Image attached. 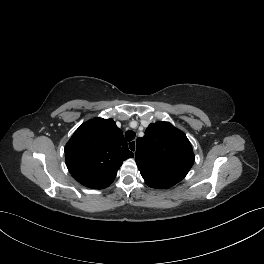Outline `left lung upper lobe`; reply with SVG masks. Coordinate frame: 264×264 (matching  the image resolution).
<instances>
[{"instance_id":"5c2ea615","label":"left lung upper lobe","mask_w":264,"mask_h":264,"mask_svg":"<svg viewBox=\"0 0 264 264\" xmlns=\"http://www.w3.org/2000/svg\"><path fill=\"white\" fill-rule=\"evenodd\" d=\"M135 160L141 175L165 173L178 183L192 167L194 154L186 135L162 121L150 124L137 139Z\"/></svg>"}]
</instances>
